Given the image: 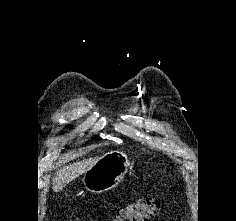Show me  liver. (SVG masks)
Here are the masks:
<instances>
[{"mask_svg": "<svg viewBox=\"0 0 236 221\" xmlns=\"http://www.w3.org/2000/svg\"><path fill=\"white\" fill-rule=\"evenodd\" d=\"M101 157L84 159L60 168L53 178V190H61L66 184L92 168Z\"/></svg>", "mask_w": 236, "mask_h": 221, "instance_id": "1", "label": "liver"}]
</instances>
